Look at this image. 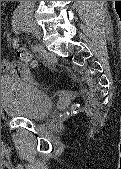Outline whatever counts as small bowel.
Instances as JSON below:
<instances>
[{"label": "small bowel", "mask_w": 121, "mask_h": 169, "mask_svg": "<svg viewBox=\"0 0 121 169\" xmlns=\"http://www.w3.org/2000/svg\"><path fill=\"white\" fill-rule=\"evenodd\" d=\"M1 70L4 73L18 75L26 80L31 78V73L28 65L21 61L3 60Z\"/></svg>", "instance_id": "c3829d8e"}]
</instances>
